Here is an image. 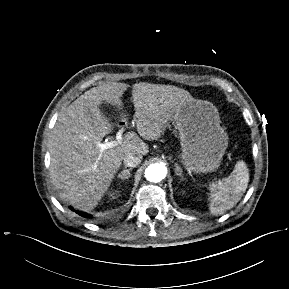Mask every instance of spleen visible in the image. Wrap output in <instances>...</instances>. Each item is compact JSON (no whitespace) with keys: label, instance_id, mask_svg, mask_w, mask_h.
Segmentation results:
<instances>
[{"label":"spleen","instance_id":"1","mask_svg":"<svg viewBox=\"0 0 289 289\" xmlns=\"http://www.w3.org/2000/svg\"><path fill=\"white\" fill-rule=\"evenodd\" d=\"M249 182V169L244 161H238L234 170L221 182L209 185V209L213 214H223L233 208L243 196Z\"/></svg>","mask_w":289,"mask_h":289}]
</instances>
